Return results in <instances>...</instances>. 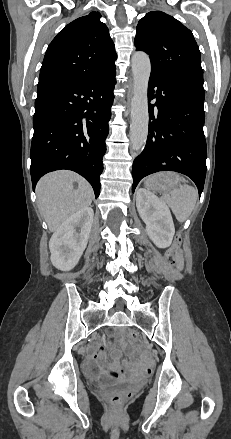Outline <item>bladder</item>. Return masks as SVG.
I'll list each match as a JSON object with an SVG mask.
<instances>
[{
    "label": "bladder",
    "instance_id": "bladder-1",
    "mask_svg": "<svg viewBox=\"0 0 231 439\" xmlns=\"http://www.w3.org/2000/svg\"><path fill=\"white\" fill-rule=\"evenodd\" d=\"M83 371L85 374H89L92 371V366L89 365L88 363H85L83 365Z\"/></svg>",
    "mask_w": 231,
    "mask_h": 439
}]
</instances>
